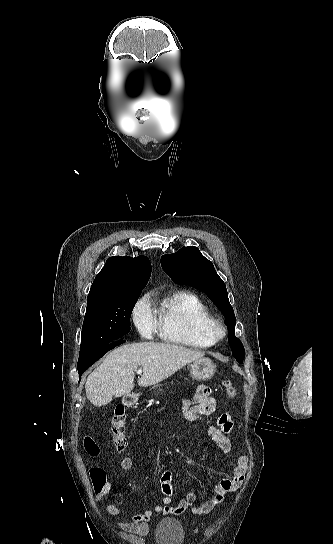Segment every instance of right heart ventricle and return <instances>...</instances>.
<instances>
[{
	"mask_svg": "<svg viewBox=\"0 0 333 544\" xmlns=\"http://www.w3.org/2000/svg\"><path fill=\"white\" fill-rule=\"evenodd\" d=\"M213 318L206 303L195 293L180 290L166 296L158 310V328L163 340L193 348H209L215 341L207 326Z\"/></svg>",
	"mask_w": 333,
	"mask_h": 544,
	"instance_id": "e07e8e85",
	"label": "right heart ventricle"
}]
</instances>
